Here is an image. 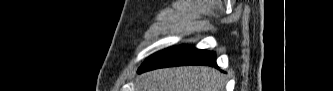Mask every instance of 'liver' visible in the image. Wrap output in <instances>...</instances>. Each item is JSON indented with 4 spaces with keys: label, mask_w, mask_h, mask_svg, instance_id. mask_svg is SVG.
<instances>
[{
    "label": "liver",
    "mask_w": 333,
    "mask_h": 91,
    "mask_svg": "<svg viewBox=\"0 0 333 91\" xmlns=\"http://www.w3.org/2000/svg\"><path fill=\"white\" fill-rule=\"evenodd\" d=\"M139 91H224L220 72L206 66L164 68L137 77Z\"/></svg>",
    "instance_id": "1"
}]
</instances>
